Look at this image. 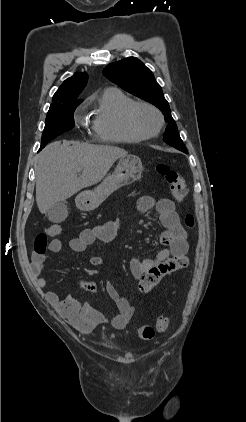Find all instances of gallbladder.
Here are the masks:
<instances>
[{
  "label": "gallbladder",
  "instance_id": "gallbladder-1",
  "mask_svg": "<svg viewBox=\"0 0 246 422\" xmlns=\"http://www.w3.org/2000/svg\"><path fill=\"white\" fill-rule=\"evenodd\" d=\"M46 215L51 222H63L68 216V208L66 201H60L54 204L48 209Z\"/></svg>",
  "mask_w": 246,
  "mask_h": 422
}]
</instances>
